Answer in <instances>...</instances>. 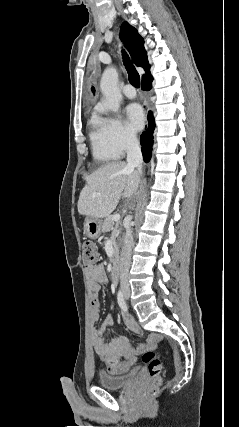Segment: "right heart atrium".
Listing matches in <instances>:
<instances>
[{
    "instance_id": "obj_1",
    "label": "right heart atrium",
    "mask_w": 239,
    "mask_h": 427,
    "mask_svg": "<svg viewBox=\"0 0 239 427\" xmlns=\"http://www.w3.org/2000/svg\"><path fill=\"white\" fill-rule=\"evenodd\" d=\"M102 127L110 147L118 156H123L137 145L135 134L115 116L102 119Z\"/></svg>"
}]
</instances>
